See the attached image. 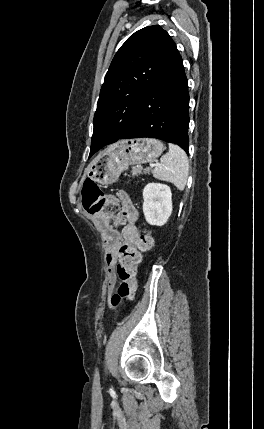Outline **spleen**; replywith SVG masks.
Returning a JSON list of instances; mask_svg holds the SVG:
<instances>
[{
  "instance_id": "obj_1",
  "label": "spleen",
  "mask_w": 264,
  "mask_h": 429,
  "mask_svg": "<svg viewBox=\"0 0 264 429\" xmlns=\"http://www.w3.org/2000/svg\"><path fill=\"white\" fill-rule=\"evenodd\" d=\"M188 171L189 163L184 150L169 143V152L161 157L159 166L152 173L156 179L170 182L182 191L187 183Z\"/></svg>"
}]
</instances>
